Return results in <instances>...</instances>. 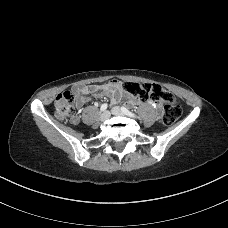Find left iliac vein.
<instances>
[{
	"mask_svg": "<svg viewBox=\"0 0 228 228\" xmlns=\"http://www.w3.org/2000/svg\"><path fill=\"white\" fill-rule=\"evenodd\" d=\"M112 114H113V115H117V116H119V115H126V114L122 111V109L119 108V107H113V108H112Z\"/></svg>",
	"mask_w": 228,
	"mask_h": 228,
	"instance_id": "4c4485c4",
	"label": "left iliac vein"
}]
</instances>
